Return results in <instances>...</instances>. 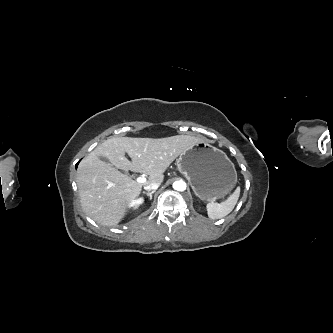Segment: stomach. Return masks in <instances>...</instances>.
<instances>
[{
	"label": "stomach",
	"instance_id": "obj_1",
	"mask_svg": "<svg viewBox=\"0 0 333 333\" xmlns=\"http://www.w3.org/2000/svg\"><path fill=\"white\" fill-rule=\"evenodd\" d=\"M177 168L191 183L195 195L203 201L224 198L237 182V172L227 155L200 141L176 160Z\"/></svg>",
	"mask_w": 333,
	"mask_h": 333
}]
</instances>
